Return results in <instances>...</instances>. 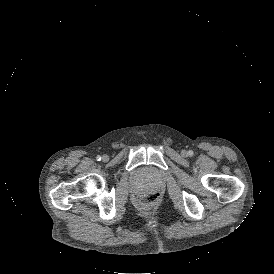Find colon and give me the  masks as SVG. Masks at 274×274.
Wrapping results in <instances>:
<instances>
[{"label": "colon", "mask_w": 274, "mask_h": 274, "mask_svg": "<svg viewBox=\"0 0 274 274\" xmlns=\"http://www.w3.org/2000/svg\"><path fill=\"white\" fill-rule=\"evenodd\" d=\"M163 202V194L161 192L149 191L142 193L134 203L138 209H146L147 207H155Z\"/></svg>", "instance_id": "obj_1"}]
</instances>
